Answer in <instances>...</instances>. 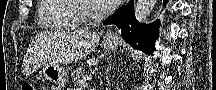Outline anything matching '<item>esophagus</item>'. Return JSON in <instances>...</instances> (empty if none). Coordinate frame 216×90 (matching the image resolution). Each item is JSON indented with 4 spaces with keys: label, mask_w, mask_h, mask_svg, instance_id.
<instances>
[{
    "label": "esophagus",
    "mask_w": 216,
    "mask_h": 90,
    "mask_svg": "<svg viewBox=\"0 0 216 90\" xmlns=\"http://www.w3.org/2000/svg\"><path fill=\"white\" fill-rule=\"evenodd\" d=\"M106 39L110 40L112 38H116V35H114V33H107L105 36Z\"/></svg>",
    "instance_id": "esophagus-1"
}]
</instances>
